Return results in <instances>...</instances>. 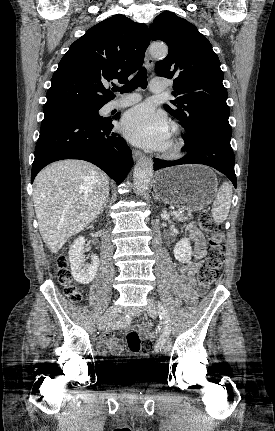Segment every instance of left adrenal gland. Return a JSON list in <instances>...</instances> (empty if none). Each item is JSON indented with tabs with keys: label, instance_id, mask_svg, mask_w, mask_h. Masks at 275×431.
Listing matches in <instances>:
<instances>
[{
	"label": "left adrenal gland",
	"instance_id": "obj_1",
	"mask_svg": "<svg viewBox=\"0 0 275 431\" xmlns=\"http://www.w3.org/2000/svg\"><path fill=\"white\" fill-rule=\"evenodd\" d=\"M154 200L160 201V199L158 198V195L154 196Z\"/></svg>",
	"mask_w": 275,
	"mask_h": 431
}]
</instances>
